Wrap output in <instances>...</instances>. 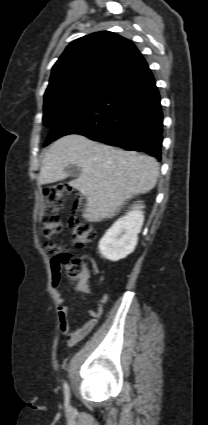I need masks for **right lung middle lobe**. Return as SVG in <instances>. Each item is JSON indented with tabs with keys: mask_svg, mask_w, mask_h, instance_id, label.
I'll return each mask as SVG.
<instances>
[{
	"mask_svg": "<svg viewBox=\"0 0 208 425\" xmlns=\"http://www.w3.org/2000/svg\"><path fill=\"white\" fill-rule=\"evenodd\" d=\"M104 89H86L69 93L62 97L44 102L43 122L52 126L60 117L75 113L95 102ZM49 143H45L47 145Z\"/></svg>",
	"mask_w": 208,
	"mask_h": 425,
	"instance_id": "right-lung-middle-lobe-1",
	"label": "right lung middle lobe"
}]
</instances>
